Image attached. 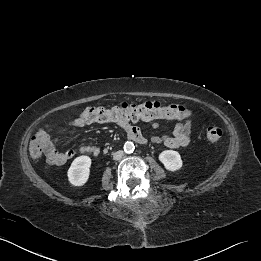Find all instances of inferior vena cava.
I'll return each instance as SVG.
<instances>
[{"mask_svg": "<svg viewBox=\"0 0 261 261\" xmlns=\"http://www.w3.org/2000/svg\"><path fill=\"white\" fill-rule=\"evenodd\" d=\"M123 154H124L123 151L119 150V151L113 153V159L120 160L122 158Z\"/></svg>", "mask_w": 261, "mask_h": 261, "instance_id": "602c4592", "label": "inferior vena cava"}]
</instances>
